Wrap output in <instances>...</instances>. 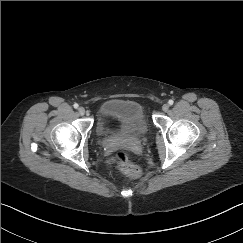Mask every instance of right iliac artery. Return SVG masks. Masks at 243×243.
Masks as SVG:
<instances>
[{"mask_svg": "<svg viewBox=\"0 0 243 243\" xmlns=\"http://www.w3.org/2000/svg\"><path fill=\"white\" fill-rule=\"evenodd\" d=\"M73 106H74V108H78L79 105L77 103H75Z\"/></svg>", "mask_w": 243, "mask_h": 243, "instance_id": "82829eb1", "label": "right iliac artery"}]
</instances>
